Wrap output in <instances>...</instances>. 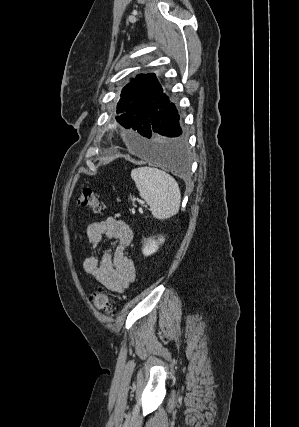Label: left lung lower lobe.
I'll return each mask as SVG.
<instances>
[{
  "label": "left lung lower lobe",
  "mask_w": 299,
  "mask_h": 427,
  "mask_svg": "<svg viewBox=\"0 0 299 427\" xmlns=\"http://www.w3.org/2000/svg\"><path fill=\"white\" fill-rule=\"evenodd\" d=\"M141 115L139 134L149 140L144 141L137 150L153 163L174 172H186L189 167L187 142L175 105L167 97L155 108L142 110Z\"/></svg>",
  "instance_id": "1"
}]
</instances>
